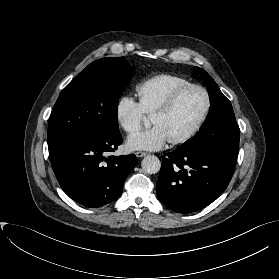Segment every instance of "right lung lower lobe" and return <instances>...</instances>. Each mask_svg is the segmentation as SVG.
Returning a JSON list of instances; mask_svg holds the SVG:
<instances>
[{"instance_id": "98d812e1", "label": "right lung lower lobe", "mask_w": 279, "mask_h": 279, "mask_svg": "<svg viewBox=\"0 0 279 279\" xmlns=\"http://www.w3.org/2000/svg\"><path fill=\"white\" fill-rule=\"evenodd\" d=\"M120 132L79 139L49 150L51 166L64 192L79 204L98 208L115 201L137 164L134 154L108 156L122 143Z\"/></svg>"}]
</instances>
